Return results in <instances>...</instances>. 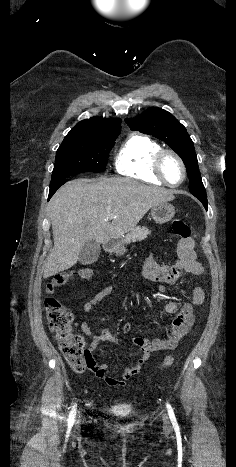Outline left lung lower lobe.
<instances>
[{
	"label": "left lung lower lobe",
	"instance_id": "obj_1",
	"mask_svg": "<svg viewBox=\"0 0 236 467\" xmlns=\"http://www.w3.org/2000/svg\"><path fill=\"white\" fill-rule=\"evenodd\" d=\"M196 198H198L202 204L204 205L205 209L207 210V207H208V201H207V197H206V194L202 195V194H193Z\"/></svg>",
	"mask_w": 236,
	"mask_h": 467
}]
</instances>
